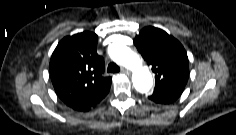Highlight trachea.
<instances>
[{
    "label": "trachea",
    "mask_w": 236,
    "mask_h": 135,
    "mask_svg": "<svg viewBox=\"0 0 236 135\" xmlns=\"http://www.w3.org/2000/svg\"><path fill=\"white\" fill-rule=\"evenodd\" d=\"M119 71H120V67L116 65L115 63L112 62L108 65L107 72L117 73Z\"/></svg>",
    "instance_id": "trachea-1"
}]
</instances>
